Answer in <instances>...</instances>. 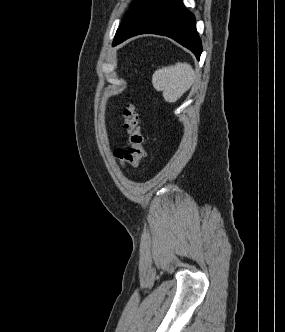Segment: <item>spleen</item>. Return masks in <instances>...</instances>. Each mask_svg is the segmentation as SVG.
Wrapping results in <instances>:
<instances>
[{"label":"spleen","mask_w":285,"mask_h":332,"mask_svg":"<svg viewBox=\"0 0 285 332\" xmlns=\"http://www.w3.org/2000/svg\"><path fill=\"white\" fill-rule=\"evenodd\" d=\"M194 70L188 63L162 67L152 76L153 87L163 92L166 102H176L193 84Z\"/></svg>","instance_id":"obj_1"}]
</instances>
